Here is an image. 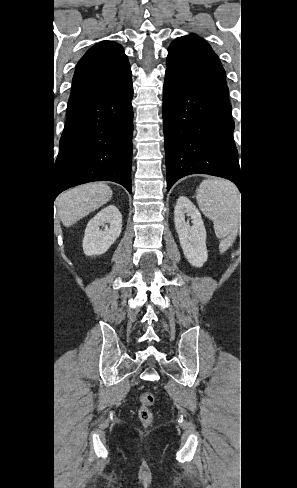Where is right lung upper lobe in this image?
I'll return each mask as SVG.
<instances>
[{"label": "right lung upper lobe", "mask_w": 297, "mask_h": 488, "mask_svg": "<svg viewBox=\"0 0 297 488\" xmlns=\"http://www.w3.org/2000/svg\"><path fill=\"white\" fill-rule=\"evenodd\" d=\"M131 74L123 48L113 41H102L90 48L76 66L67 111L104 93Z\"/></svg>", "instance_id": "cb5924a9"}]
</instances>
